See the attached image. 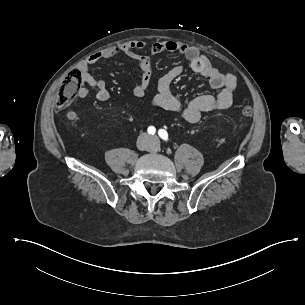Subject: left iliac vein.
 Here are the masks:
<instances>
[{
  "instance_id": "obj_1",
  "label": "left iliac vein",
  "mask_w": 305,
  "mask_h": 305,
  "mask_svg": "<svg viewBox=\"0 0 305 305\" xmlns=\"http://www.w3.org/2000/svg\"><path fill=\"white\" fill-rule=\"evenodd\" d=\"M153 139H154V140H157V137H156V136H154V137H153Z\"/></svg>"
}]
</instances>
